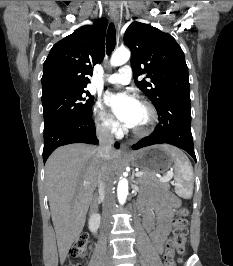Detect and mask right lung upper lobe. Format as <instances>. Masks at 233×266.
Segmentation results:
<instances>
[{"label":"right lung upper lobe","mask_w":233,"mask_h":266,"mask_svg":"<svg viewBox=\"0 0 233 266\" xmlns=\"http://www.w3.org/2000/svg\"><path fill=\"white\" fill-rule=\"evenodd\" d=\"M107 19L95 20L57 42L44 62L41 79L43 94L86 88L92 65L103 60Z\"/></svg>","instance_id":"cb5924a9"}]
</instances>
